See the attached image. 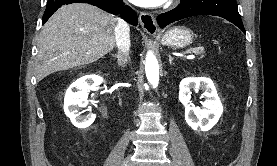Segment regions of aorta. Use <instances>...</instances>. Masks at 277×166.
I'll return each instance as SVG.
<instances>
[{
	"mask_svg": "<svg viewBox=\"0 0 277 166\" xmlns=\"http://www.w3.org/2000/svg\"><path fill=\"white\" fill-rule=\"evenodd\" d=\"M145 72L149 83L157 87L159 83V65L152 51H148L145 59Z\"/></svg>",
	"mask_w": 277,
	"mask_h": 166,
	"instance_id": "aorta-1",
	"label": "aorta"
}]
</instances>
